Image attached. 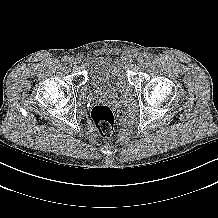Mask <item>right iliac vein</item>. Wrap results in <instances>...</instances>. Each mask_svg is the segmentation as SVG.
<instances>
[{"instance_id":"right-iliac-vein-1","label":"right iliac vein","mask_w":218,"mask_h":218,"mask_svg":"<svg viewBox=\"0 0 218 218\" xmlns=\"http://www.w3.org/2000/svg\"><path fill=\"white\" fill-rule=\"evenodd\" d=\"M68 63H69L71 66H74V65H76L77 62H76V59H75V58L71 57V58H69Z\"/></svg>"}]
</instances>
